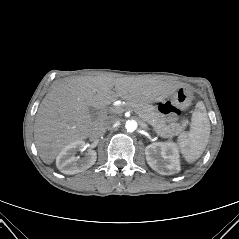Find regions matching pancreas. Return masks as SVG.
<instances>
[{
	"label": "pancreas",
	"mask_w": 239,
	"mask_h": 239,
	"mask_svg": "<svg viewBox=\"0 0 239 239\" xmlns=\"http://www.w3.org/2000/svg\"><path fill=\"white\" fill-rule=\"evenodd\" d=\"M127 109L133 110L139 117L153 127V130L163 138H172L178 135L187 125V120L181 123L171 122L164 118L156 108L147 103L128 102Z\"/></svg>",
	"instance_id": "pancreas-1"
}]
</instances>
